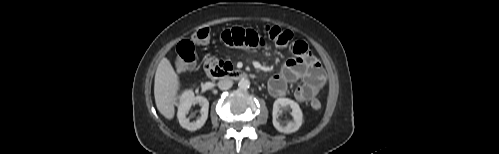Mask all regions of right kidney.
<instances>
[{
    "label": "right kidney",
    "instance_id": "1",
    "mask_svg": "<svg viewBox=\"0 0 499 154\" xmlns=\"http://www.w3.org/2000/svg\"><path fill=\"white\" fill-rule=\"evenodd\" d=\"M195 103H199L201 105V110H200L201 116L196 121L190 122L189 119L186 117V115L187 112L190 110L191 106ZM208 109H209V102L205 97L203 96L195 97L192 90L185 91L179 97L177 117L180 125L183 128L190 131H195L201 128L207 120Z\"/></svg>",
    "mask_w": 499,
    "mask_h": 154
}]
</instances>
